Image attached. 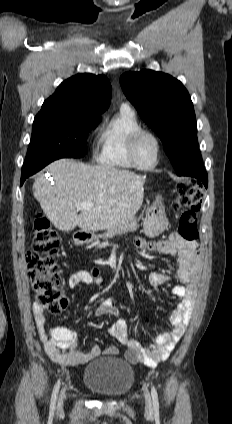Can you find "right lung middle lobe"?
Here are the masks:
<instances>
[{"label": "right lung middle lobe", "instance_id": "right-lung-middle-lobe-1", "mask_svg": "<svg viewBox=\"0 0 232 424\" xmlns=\"http://www.w3.org/2000/svg\"><path fill=\"white\" fill-rule=\"evenodd\" d=\"M101 118L68 109L41 110L35 117L23 169L51 158L83 157L88 132Z\"/></svg>", "mask_w": 232, "mask_h": 424}]
</instances>
